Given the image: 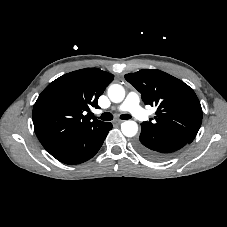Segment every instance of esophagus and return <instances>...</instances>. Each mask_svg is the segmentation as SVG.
I'll return each mask as SVG.
<instances>
[{"instance_id":"obj_1","label":"esophagus","mask_w":227,"mask_h":227,"mask_svg":"<svg viewBox=\"0 0 227 227\" xmlns=\"http://www.w3.org/2000/svg\"><path fill=\"white\" fill-rule=\"evenodd\" d=\"M123 122V120H115L114 123L116 124H121Z\"/></svg>"}]
</instances>
